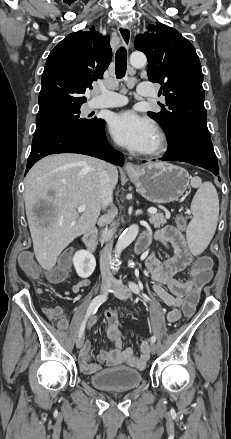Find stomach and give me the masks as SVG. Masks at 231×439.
Masks as SVG:
<instances>
[{
    "label": "stomach",
    "mask_w": 231,
    "mask_h": 439,
    "mask_svg": "<svg viewBox=\"0 0 231 439\" xmlns=\"http://www.w3.org/2000/svg\"><path fill=\"white\" fill-rule=\"evenodd\" d=\"M128 176L141 196L157 204L177 200L187 190L190 180L185 169L160 162L137 167Z\"/></svg>",
    "instance_id": "obj_1"
}]
</instances>
